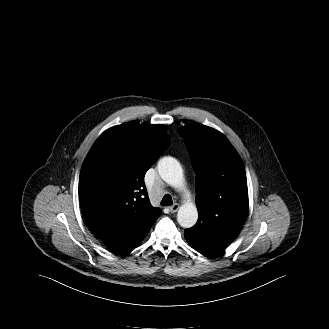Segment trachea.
Segmentation results:
<instances>
[{"mask_svg": "<svg viewBox=\"0 0 329 329\" xmlns=\"http://www.w3.org/2000/svg\"><path fill=\"white\" fill-rule=\"evenodd\" d=\"M172 204H173L172 197L169 194H166L161 201V205L171 206Z\"/></svg>", "mask_w": 329, "mask_h": 329, "instance_id": "1", "label": "trachea"}]
</instances>
